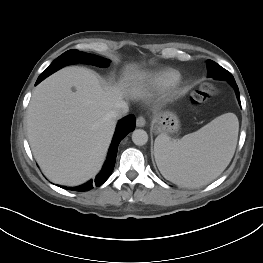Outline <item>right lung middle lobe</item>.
<instances>
[{
  "label": "right lung middle lobe",
  "instance_id": "dd1d6c3e",
  "mask_svg": "<svg viewBox=\"0 0 263 263\" xmlns=\"http://www.w3.org/2000/svg\"><path fill=\"white\" fill-rule=\"evenodd\" d=\"M77 62L91 64L98 67H107L110 64V60L108 59L80 52L78 50H69L59 56L48 68H61L67 64Z\"/></svg>",
  "mask_w": 263,
  "mask_h": 263
}]
</instances>
